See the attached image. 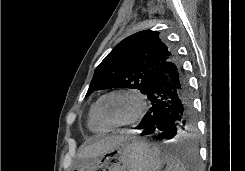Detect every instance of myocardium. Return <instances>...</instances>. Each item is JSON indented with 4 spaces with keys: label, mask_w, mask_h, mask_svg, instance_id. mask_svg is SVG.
<instances>
[{
    "label": "myocardium",
    "mask_w": 245,
    "mask_h": 171,
    "mask_svg": "<svg viewBox=\"0 0 245 171\" xmlns=\"http://www.w3.org/2000/svg\"><path fill=\"white\" fill-rule=\"evenodd\" d=\"M112 95H128L133 97L136 100L137 103V108L135 110V112L133 113V115L123 121V122H119V123H110L107 122L100 113V105L102 103V101ZM147 110V101L146 98L144 96V94L136 89V88H118V89H114L111 90L105 94H103L102 96L99 97V99L96 101L95 103V116L98 119V121L103 124L104 126L108 127V128H121V127H126V126H130L133 125L135 123H137L138 121H140L144 114L146 113Z\"/></svg>",
    "instance_id": "f54148a6"
}]
</instances>
